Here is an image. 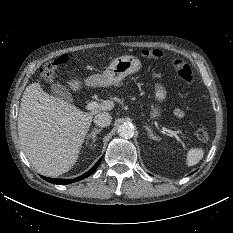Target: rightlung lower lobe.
<instances>
[{"mask_svg": "<svg viewBox=\"0 0 233 233\" xmlns=\"http://www.w3.org/2000/svg\"><path fill=\"white\" fill-rule=\"evenodd\" d=\"M101 160H102V157L89 171H87L86 173H84V175H82L76 179H72V180H70V179H55V178H48V177H44V176H42V178L50 183L60 184V185H65V184L77 182V181H80V180L90 176L96 170V168L98 167Z\"/></svg>", "mask_w": 233, "mask_h": 233, "instance_id": "obj_1", "label": "right lung lower lobe"}]
</instances>
